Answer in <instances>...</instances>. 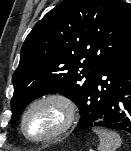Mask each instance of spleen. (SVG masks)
<instances>
[{
  "label": "spleen",
  "instance_id": "spleen-1",
  "mask_svg": "<svg viewBox=\"0 0 131 151\" xmlns=\"http://www.w3.org/2000/svg\"><path fill=\"white\" fill-rule=\"evenodd\" d=\"M93 132L100 141L98 151H116L121 146V138L116 132L104 128H93Z\"/></svg>",
  "mask_w": 131,
  "mask_h": 151
}]
</instances>
